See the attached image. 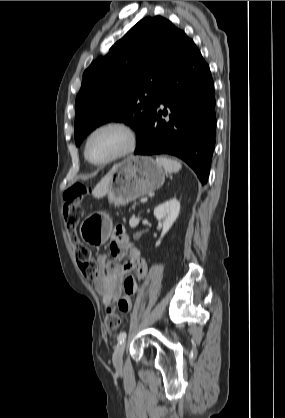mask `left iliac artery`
Segmentation results:
<instances>
[{
  "mask_svg": "<svg viewBox=\"0 0 285 418\" xmlns=\"http://www.w3.org/2000/svg\"><path fill=\"white\" fill-rule=\"evenodd\" d=\"M126 332H121L119 335H118V337H117V339H118V342H123L125 339H126Z\"/></svg>",
  "mask_w": 285,
  "mask_h": 418,
  "instance_id": "44dca946",
  "label": "left iliac artery"
}]
</instances>
